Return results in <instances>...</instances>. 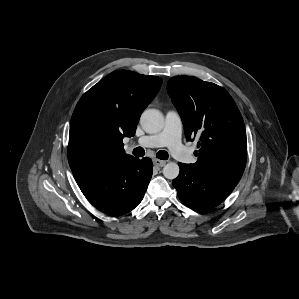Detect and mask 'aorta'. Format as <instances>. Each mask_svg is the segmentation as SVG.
<instances>
[{
    "label": "aorta",
    "mask_w": 299,
    "mask_h": 299,
    "mask_svg": "<svg viewBox=\"0 0 299 299\" xmlns=\"http://www.w3.org/2000/svg\"><path fill=\"white\" fill-rule=\"evenodd\" d=\"M143 130L149 134L159 133L164 127L163 114L157 109H147L140 117ZM179 166L175 162L167 163L163 168L165 178L173 180L179 175Z\"/></svg>",
    "instance_id": "762f6f07"
}]
</instances>
